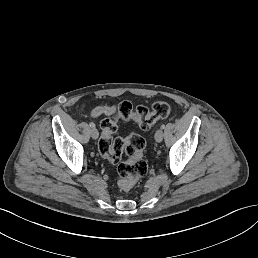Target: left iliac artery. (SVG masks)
I'll return each mask as SVG.
<instances>
[{
	"mask_svg": "<svg viewBox=\"0 0 258 258\" xmlns=\"http://www.w3.org/2000/svg\"><path fill=\"white\" fill-rule=\"evenodd\" d=\"M162 130L165 129V124H162L160 127Z\"/></svg>",
	"mask_w": 258,
	"mask_h": 258,
	"instance_id": "obj_1",
	"label": "left iliac artery"
}]
</instances>
